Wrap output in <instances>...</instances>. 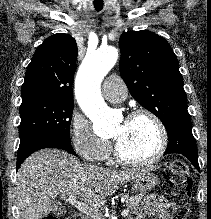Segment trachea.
Wrapping results in <instances>:
<instances>
[{
    "mask_svg": "<svg viewBox=\"0 0 211 219\" xmlns=\"http://www.w3.org/2000/svg\"><path fill=\"white\" fill-rule=\"evenodd\" d=\"M102 8H103V6H95V9H96L97 11H101Z\"/></svg>",
    "mask_w": 211,
    "mask_h": 219,
    "instance_id": "obj_1",
    "label": "trachea"
}]
</instances>
